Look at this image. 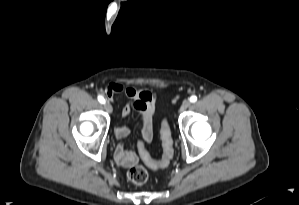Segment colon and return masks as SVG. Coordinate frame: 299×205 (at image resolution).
I'll return each mask as SVG.
<instances>
[{
	"mask_svg": "<svg viewBox=\"0 0 299 205\" xmlns=\"http://www.w3.org/2000/svg\"><path fill=\"white\" fill-rule=\"evenodd\" d=\"M178 97L174 98L173 102H176ZM161 139H162V157L160 160H154L148 153L145 141L139 140L137 143V148L142 160L145 164L152 169H162L169 165L173 157V140L171 136L170 127L167 120H163L161 127ZM129 180L135 185H143L148 180L147 170L140 165L133 166L128 171Z\"/></svg>",
	"mask_w": 299,
	"mask_h": 205,
	"instance_id": "1",
	"label": "colon"
}]
</instances>
